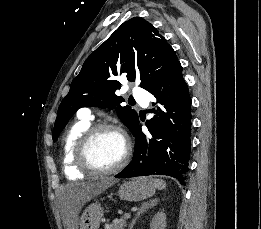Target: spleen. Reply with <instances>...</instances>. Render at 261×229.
Returning a JSON list of instances; mask_svg holds the SVG:
<instances>
[{
  "label": "spleen",
  "instance_id": "spleen-1",
  "mask_svg": "<svg viewBox=\"0 0 261 229\" xmlns=\"http://www.w3.org/2000/svg\"><path fill=\"white\" fill-rule=\"evenodd\" d=\"M154 183L159 191H163L166 187V183L165 181H162V179H154Z\"/></svg>",
  "mask_w": 261,
  "mask_h": 229
}]
</instances>
